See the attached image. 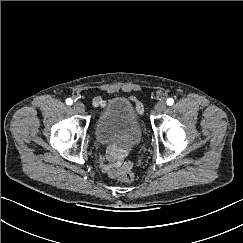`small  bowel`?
I'll return each instance as SVG.
<instances>
[{
    "label": "small bowel",
    "mask_w": 243,
    "mask_h": 243,
    "mask_svg": "<svg viewBox=\"0 0 243 243\" xmlns=\"http://www.w3.org/2000/svg\"><path fill=\"white\" fill-rule=\"evenodd\" d=\"M132 100L136 104L137 111L142 113L144 110L143 103L135 98ZM92 105L96 109H102L105 107L106 102L100 98L96 97L92 101ZM129 154L128 149H118L116 147H110L106 150V153L102 156V172L105 173L110 178L119 177L125 170L131 167L129 162H125V157Z\"/></svg>",
    "instance_id": "obj_1"
}]
</instances>
